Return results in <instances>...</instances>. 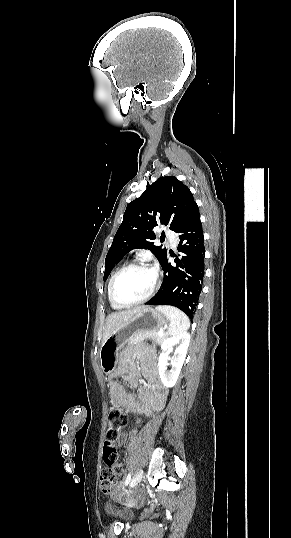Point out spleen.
<instances>
[{"mask_svg": "<svg viewBox=\"0 0 291 538\" xmlns=\"http://www.w3.org/2000/svg\"><path fill=\"white\" fill-rule=\"evenodd\" d=\"M156 310L165 314L170 321L168 333L170 335H178L185 332L190 327L188 316L178 308L169 305H159Z\"/></svg>", "mask_w": 291, "mask_h": 538, "instance_id": "obj_1", "label": "spleen"}]
</instances>
